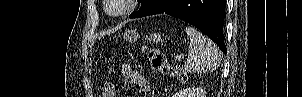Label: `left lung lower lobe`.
<instances>
[{"instance_id": "left-lung-lower-lobe-1", "label": "left lung lower lobe", "mask_w": 302, "mask_h": 97, "mask_svg": "<svg viewBox=\"0 0 302 97\" xmlns=\"http://www.w3.org/2000/svg\"><path fill=\"white\" fill-rule=\"evenodd\" d=\"M226 0H151L130 18L166 13L195 26L209 36L226 54L223 22Z\"/></svg>"}]
</instances>
